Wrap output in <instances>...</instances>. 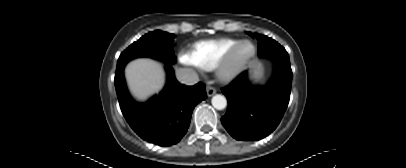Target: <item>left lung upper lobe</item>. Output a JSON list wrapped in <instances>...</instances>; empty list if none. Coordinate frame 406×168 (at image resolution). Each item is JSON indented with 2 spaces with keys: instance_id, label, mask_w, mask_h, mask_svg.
<instances>
[{
  "instance_id": "obj_1",
  "label": "left lung upper lobe",
  "mask_w": 406,
  "mask_h": 168,
  "mask_svg": "<svg viewBox=\"0 0 406 168\" xmlns=\"http://www.w3.org/2000/svg\"><path fill=\"white\" fill-rule=\"evenodd\" d=\"M247 33L253 37L252 33ZM255 36L259 39L258 52L260 56L269 57L273 60H289V55L286 50L275 40L268 38L267 36L260 37L258 34H255Z\"/></svg>"
}]
</instances>
